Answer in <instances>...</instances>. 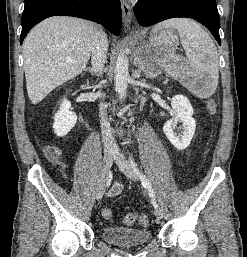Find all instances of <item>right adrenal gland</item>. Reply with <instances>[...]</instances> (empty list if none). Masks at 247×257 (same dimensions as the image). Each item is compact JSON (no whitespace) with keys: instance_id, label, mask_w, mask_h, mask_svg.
Wrapping results in <instances>:
<instances>
[{"instance_id":"2a0ac1e0","label":"right adrenal gland","mask_w":247,"mask_h":257,"mask_svg":"<svg viewBox=\"0 0 247 257\" xmlns=\"http://www.w3.org/2000/svg\"><path fill=\"white\" fill-rule=\"evenodd\" d=\"M84 71H89L91 75H94V69L92 67H87L84 69Z\"/></svg>"}]
</instances>
